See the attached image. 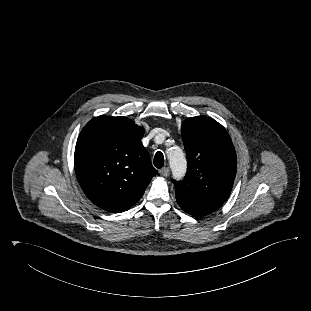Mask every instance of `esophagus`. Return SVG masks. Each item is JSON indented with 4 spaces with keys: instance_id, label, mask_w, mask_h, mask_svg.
Here are the masks:
<instances>
[{
    "instance_id": "esophagus-1",
    "label": "esophagus",
    "mask_w": 311,
    "mask_h": 311,
    "mask_svg": "<svg viewBox=\"0 0 311 311\" xmlns=\"http://www.w3.org/2000/svg\"><path fill=\"white\" fill-rule=\"evenodd\" d=\"M169 168H167V167H165V168H162V169H160L159 170V173L162 175V176H164V177H167V176H169Z\"/></svg>"
}]
</instances>
